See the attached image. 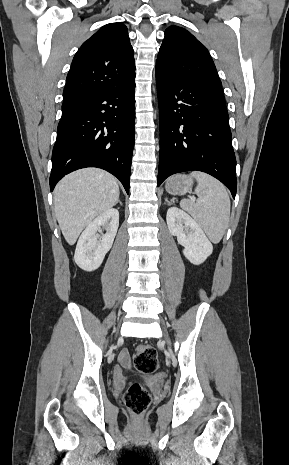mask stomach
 Instances as JSON below:
<instances>
[{
    "mask_svg": "<svg viewBox=\"0 0 289 465\" xmlns=\"http://www.w3.org/2000/svg\"><path fill=\"white\" fill-rule=\"evenodd\" d=\"M193 186V178L189 175H176L166 182V190L173 195H183L189 192Z\"/></svg>",
    "mask_w": 289,
    "mask_h": 465,
    "instance_id": "0dacf381",
    "label": "stomach"
}]
</instances>
